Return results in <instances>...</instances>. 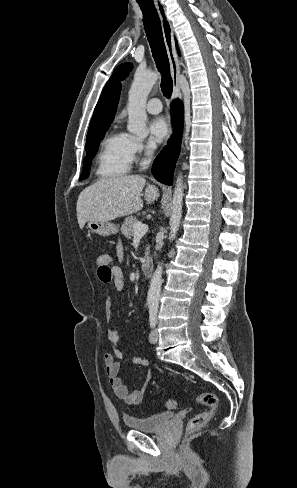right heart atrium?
Returning a JSON list of instances; mask_svg holds the SVG:
<instances>
[{"label": "right heart atrium", "mask_w": 297, "mask_h": 488, "mask_svg": "<svg viewBox=\"0 0 297 488\" xmlns=\"http://www.w3.org/2000/svg\"><path fill=\"white\" fill-rule=\"evenodd\" d=\"M127 148L131 161H134L137 158L148 157L149 155H151L154 146L152 144L145 143L141 140L128 136Z\"/></svg>", "instance_id": "right-heart-atrium-1"}]
</instances>
